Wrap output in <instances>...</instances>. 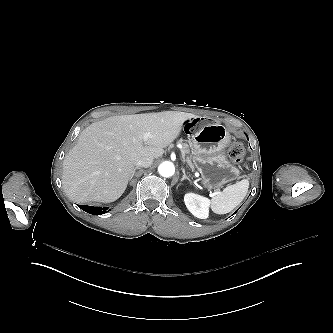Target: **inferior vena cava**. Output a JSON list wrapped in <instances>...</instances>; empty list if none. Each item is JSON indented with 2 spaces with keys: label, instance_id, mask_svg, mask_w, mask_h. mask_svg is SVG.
Listing matches in <instances>:
<instances>
[{
  "label": "inferior vena cava",
  "instance_id": "1",
  "mask_svg": "<svg viewBox=\"0 0 333 333\" xmlns=\"http://www.w3.org/2000/svg\"><path fill=\"white\" fill-rule=\"evenodd\" d=\"M152 163H153V158H151V157H144V158H141V159H139L137 161L136 166L137 167H145V168H147V167L151 166Z\"/></svg>",
  "mask_w": 333,
  "mask_h": 333
}]
</instances>
